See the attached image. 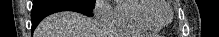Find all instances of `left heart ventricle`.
I'll use <instances>...</instances> for the list:
<instances>
[{
    "label": "left heart ventricle",
    "instance_id": "obj_1",
    "mask_svg": "<svg viewBox=\"0 0 219 37\" xmlns=\"http://www.w3.org/2000/svg\"><path fill=\"white\" fill-rule=\"evenodd\" d=\"M163 4L164 5H162L154 15V17L159 21H167L170 18V10L165 3Z\"/></svg>",
    "mask_w": 219,
    "mask_h": 37
}]
</instances>
